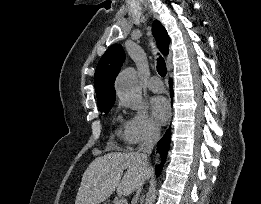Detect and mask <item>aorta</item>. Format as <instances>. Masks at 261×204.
<instances>
[{"label": "aorta", "mask_w": 261, "mask_h": 204, "mask_svg": "<svg viewBox=\"0 0 261 204\" xmlns=\"http://www.w3.org/2000/svg\"><path fill=\"white\" fill-rule=\"evenodd\" d=\"M115 87L120 99L127 102L133 109L140 108L142 92L134 68H126L121 71L116 79Z\"/></svg>", "instance_id": "1"}]
</instances>
